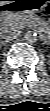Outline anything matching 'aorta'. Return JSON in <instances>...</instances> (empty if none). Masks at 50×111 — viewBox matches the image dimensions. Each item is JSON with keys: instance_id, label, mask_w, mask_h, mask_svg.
<instances>
[{"instance_id": "762f6f07", "label": "aorta", "mask_w": 50, "mask_h": 111, "mask_svg": "<svg viewBox=\"0 0 50 111\" xmlns=\"http://www.w3.org/2000/svg\"><path fill=\"white\" fill-rule=\"evenodd\" d=\"M24 40L27 43H35L37 41V34L35 32L32 31H28L27 33H25L24 35Z\"/></svg>"}]
</instances>
